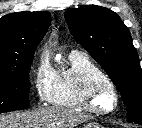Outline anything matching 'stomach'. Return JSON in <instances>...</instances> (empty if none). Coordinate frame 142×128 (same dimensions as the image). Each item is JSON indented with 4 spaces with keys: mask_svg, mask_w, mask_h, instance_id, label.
Wrapping results in <instances>:
<instances>
[{
    "mask_svg": "<svg viewBox=\"0 0 142 128\" xmlns=\"http://www.w3.org/2000/svg\"><path fill=\"white\" fill-rule=\"evenodd\" d=\"M84 128H103L102 125L98 124V123H87L84 125Z\"/></svg>",
    "mask_w": 142,
    "mask_h": 128,
    "instance_id": "0dacf381",
    "label": "stomach"
}]
</instances>
